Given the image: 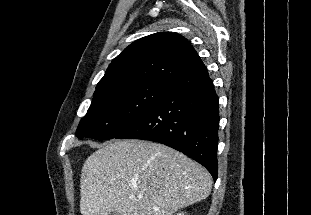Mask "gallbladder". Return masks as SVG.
<instances>
[{
  "instance_id": "bac80fb5",
  "label": "gallbladder",
  "mask_w": 311,
  "mask_h": 215,
  "mask_svg": "<svg viewBox=\"0 0 311 215\" xmlns=\"http://www.w3.org/2000/svg\"><path fill=\"white\" fill-rule=\"evenodd\" d=\"M108 215H118V214L115 211H111V212H109Z\"/></svg>"
}]
</instances>
